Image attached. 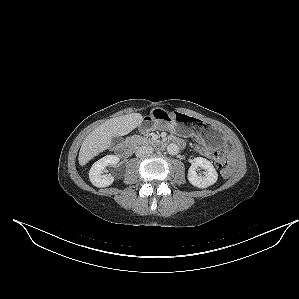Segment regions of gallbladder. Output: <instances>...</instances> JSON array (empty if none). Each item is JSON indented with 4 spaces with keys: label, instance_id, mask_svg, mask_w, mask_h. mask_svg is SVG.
Returning <instances> with one entry per match:
<instances>
[{
    "label": "gallbladder",
    "instance_id": "1",
    "mask_svg": "<svg viewBox=\"0 0 299 299\" xmlns=\"http://www.w3.org/2000/svg\"><path fill=\"white\" fill-rule=\"evenodd\" d=\"M122 141V138L119 136L113 137L112 138V142L113 143H120Z\"/></svg>",
    "mask_w": 299,
    "mask_h": 299
}]
</instances>
